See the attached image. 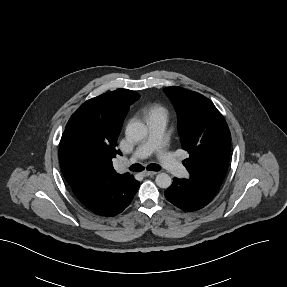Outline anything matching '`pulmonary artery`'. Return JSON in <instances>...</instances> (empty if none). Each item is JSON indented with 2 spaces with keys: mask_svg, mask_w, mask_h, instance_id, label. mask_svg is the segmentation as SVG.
<instances>
[{
  "mask_svg": "<svg viewBox=\"0 0 287 287\" xmlns=\"http://www.w3.org/2000/svg\"><path fill=\"white\" fill-rule=\"evenodd\" d=\"M166 121L160 119L148 120L149 134L142 141L129 160H125L122 164L133 163L139 159L146 158L152 152L156 153V157L160 164L172 175L176 177H184L187 175L185 167L164 148L165 138L164 131Z\"/></svg>",
  "mask_w": 287,
  "mask_h": 287,
  "instance_id": "1",
  "label": "pulmonary artery"
}]
</instances>
